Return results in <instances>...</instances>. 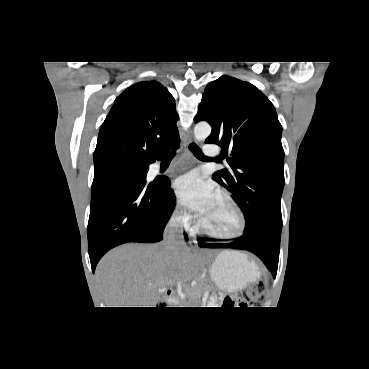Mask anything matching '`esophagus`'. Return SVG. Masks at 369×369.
<instances>
[{"label":"esophagus","instance_id":"obj_1","mask_svg":"<svg viewBox=\"0 0 369 369\" xmlns=\"http://www.w3.org/2000/svg\"><path fill=\"white\" fill-rule=\"evenodd\" d=\"M193 141H194V139H193V132H192V130H189V131H188L187 136L183 139V147H184V149H185V150H188V149H189V145H190ZM196 245H197L196 240H195V239H192V240L190 241V246H191L192 248H194V247H196Z\"/></svg>","mask_w":369,"mask_h":369}]
</instances>
